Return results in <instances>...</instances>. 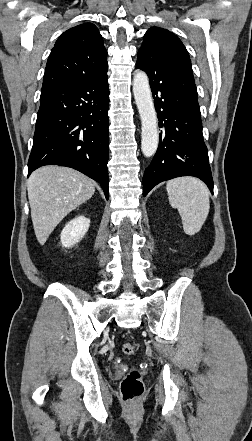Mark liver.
Here are the masks:
<instances>
[{
    "instance_id": "obj_1",
    "label": "liver",
    "mask_w": 252,
    "mask_h": 441,
    "mask_svg": "<svg viewBox=\"0 0 252 441\" xmlns=\"http://www.w3.org/2000/svg\"><path fill=\"white\" fill-rule=\"evenodd\" d=\"M27 190L34 232L43 245L67 214L93 196L95 186L74 169L49 165L30 175Z\"/></svg>"
}]
</instances>
